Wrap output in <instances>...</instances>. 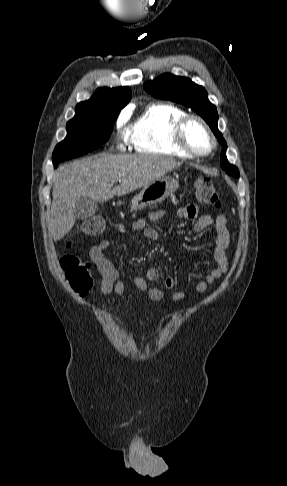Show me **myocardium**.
<instances>
[{
	"mask_svg": "<svg viewBox=\"0 0 287 486\" xmlns=\"http://www.w3.org/2000/svg\"><path fill=\"white\" fill-rule=\"evenodd\" d=\"M192 122L198 123L209 137L211 145L207 151H197L188 144L186 139V129ZM174 142L183 152L191 157H206L210 155L217 146L216 138L210 127L206 121L198 115H185L177 122L174 128Z\"/></svg>",
	"mask_w": 287,
	"mask_h": 486,
	"instance_id": "myocardium-1",
	"label": "myocardium"
}]
</instances>
